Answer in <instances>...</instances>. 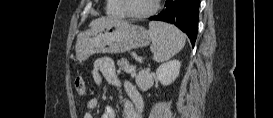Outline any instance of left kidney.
<instances>
[{"mask_svg": "<svg viewBox=\"0 0 273 118\" xmlns=\"http://www.w3.org/2000/svg\"><path fill=\"white\" fill-rule=\"evenodd\" d=\"M180 67L181 63L178 60H171L157 68L156 76L162 85H170L179 76Z\"/></svg>", "mask_w": 273, "mask_h": 118, "instance_id": "left-kidney-1", "label": "left kidney"}]
</instances>
